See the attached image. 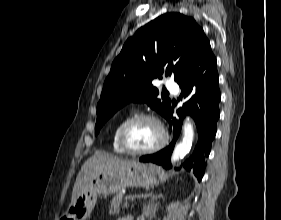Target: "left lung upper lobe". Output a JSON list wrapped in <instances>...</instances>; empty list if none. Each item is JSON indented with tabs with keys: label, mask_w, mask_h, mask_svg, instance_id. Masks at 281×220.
I'll return each mask as SVG.
<instances>
[{
	"label": "left lung upper lobe",
	"mask_w": 281,
	"mask_h": 220,
	"mask_svg": "<svg viewBox=\"0 0 281 220\" xmlns=\"http://www.w3.org/2000/svg\"><path fill=\"white\" fill-rule=\"evenodd\" d=\"M210 43L196 21L180 13H166L141 27L125 42L112 63L97 104V135L103 124L130 101L146 102L167 118L171 101L152 86L154 79L172 76L178 82L194 57Z\"/></svg>",
	"instance_id": "left-lung-upper-lobe-1"
}]
</instances>
